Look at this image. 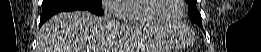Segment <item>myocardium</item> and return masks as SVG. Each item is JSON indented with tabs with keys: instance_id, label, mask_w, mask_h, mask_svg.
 <instances>
[{
	"instance_id": "f54148a6",
	"label": "myocardium",
	"mask_w": 261,
	"mask_h": 52,
	"mask_svg": "<svg viewBox=\"0 0 261 52\" xmlns=\"http://www.w3.org/2000/svg\"><path fill=\"white\" fill-rule=\"evenodd\" d=\"M155 1H157V0H144L142 3L143 11L152 23L175 24L182 19L183 15L185 13V1L184 0H178V4L180 6V13L173 20H165L162 18H157L150 14V11H152L156 7V5L154 3Z\"/></svg>"
}]
</instances>
